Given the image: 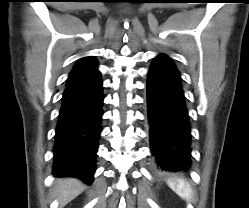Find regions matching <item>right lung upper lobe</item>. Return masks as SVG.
I'll return each instance as SVG.
<instances>
[{"mask_svg": "<svg viewBox=\"0 0 249 208\" xmlns=\"http://www.w3.org/2000/svg\"><path fill=\"white\" fill-rule=\"evenodd\" d=\"M97 61L93 57L80 59L67 79V85L98 73Z\"/></svg>", "mask_w": 249, "mask_h": 208, "instance_id": "1", "label": "right lung upper lobe"}]
</instances>
